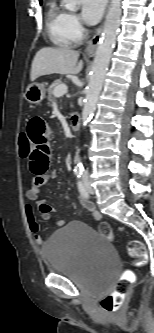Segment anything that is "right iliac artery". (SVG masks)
Wrapping results in <instances>:
<instances>
[{
  "mask_svg": "<svg viewBox=\"0 0 154 333\" xmlns=\"http://www.w3.org/2000/svg\"><path fill=\"white\" fill-rule=\"evenodd\" d=\"M83 169L82 168H75L74 169V173L76 175V177L78 178V182H77V185H78V190L80 192V194L82 196H84L85 198H89V194L88 192L86 191L82 181H81V177L83 175Z\"/></svg>",
  "mask_w": 154,
  "mask_h": 333,
  "instance_id": "82829eb1",
  "label": "right iliac artery"
}]
</instances>
